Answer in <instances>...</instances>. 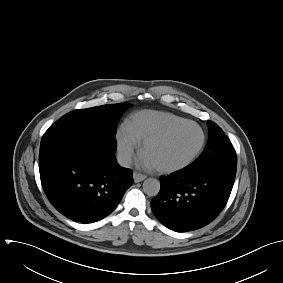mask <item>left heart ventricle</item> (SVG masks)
<instances>
[{
	"label": "left heart ventricle",
	"mask_w": 283,
	"mask_h": 283,
	"mask_svg": "<svg viewBox=\"0 0 283 283\" xmlns=\"http://www.w3.org/2000/svg\"><path fill=\"white\" fill-rule=\"evenodd\" d=\"M201 140L199 130L193 125H183L161 141L149 144L144 153L154 167H170L189 158Z\"/></svg>",
	"instance_id": "left-heart-ventricle-1"
}]
</instances>
